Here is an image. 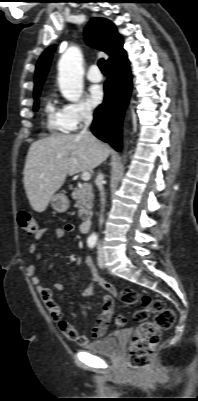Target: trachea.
<instances>
[{
  "label": "trachea",
  "instance_id": "1",
  "mask_svg": "<svg viewBox=\"0 0 198 401\" xmlns=\"http://www.w3.org/2000/svg\"><path fill=\"white\" fill-rule=\"evenodd\" d=\"M98 66L100 68V70L102 71V73H107V66H106V62L103 58H101L98 61Z\"/></svg>",
  "mask_w": 198,
  "mask_h": 401
}]
</instances>
